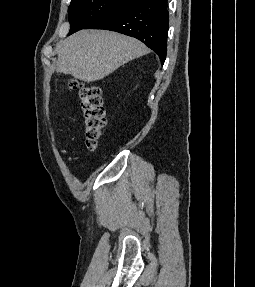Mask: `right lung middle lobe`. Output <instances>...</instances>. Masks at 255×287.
<instances>
[{
  "mask_svg": "<svg viewBox=\"0 0 255 287\" xmlns=\"http://www.w3.org/2000/svg\"><path fill=\"white\" fill-rule=\"evenodd\" d=\"M129 0H72L68 8L72 33L85 29L97 19Z\"/></svg>",
  "mask_w": 255,
  "mask_h": 287,
  "instance_id": "right-lung-middle-lobe-1",
  "label": "right lung middle lobe"
}]
</instances>
